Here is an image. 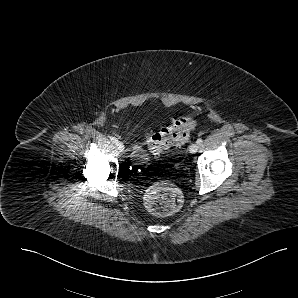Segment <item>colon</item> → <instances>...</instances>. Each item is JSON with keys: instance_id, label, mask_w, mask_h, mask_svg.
<instances>
[{"instance_id": "colon-1", "label": "colon", "mask_w": 298, "mask_h": 298, "mask_svg": "<svg viewBox=\"0 0 298 298\" xmlns=\"http://www.w3.org/2000/svg\"><path fill=\"white\" fill-rule=\"evenodd\" d=\"M195 121L190 116H181L171 124L151 134L148 138L149 149L154 154H159L173 146L186 142L195 128ZM183 202L180 189L170 182H156L146 191V208L152 214L165 216L177 212Z\"/></svg>"}]
</instances>
